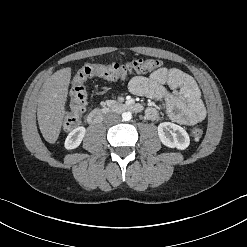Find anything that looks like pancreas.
<instances>
[{
	"mask_svg": "<svg viewBox=\"0 0 247 247\" xmlns=\"http://www.w3.org/2000/svg\"><path fill=\"white\" fill-rule=\"evenodd\" d=\"M116 103V101H113V100H107V101H105V102H101V105L102 106H110V105H113V104H115Z\"/></svg>",
	"mask_w": 247,
	"mask_h": 247,
	"instance_id": "obj_1",
	"label": "pancreas"
}]
</instances>
